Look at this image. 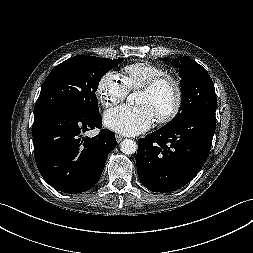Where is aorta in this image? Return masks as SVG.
I'll use <instances>...</instances> for the list:
<instances>
[{
    "mask_svg": "<svg viewBox=\"0 0 253 253\" xmlns=\"http://www.w3.org/2000/svg\"><path fill=\"white\" fill-rule=\"evenodd\" d=\"M135 99H136V92L130 94L127 97V101L130 104H134ZM120 150L122 151V153L127 154V155L134 154L137 151V144L135 141L131 139H125L121 142Z\"/></svg>",
    "mask_w": 253,
    "mask_h": 253,
    "instance_id": "1",
    "label": "aorta"
}]
</instances>
